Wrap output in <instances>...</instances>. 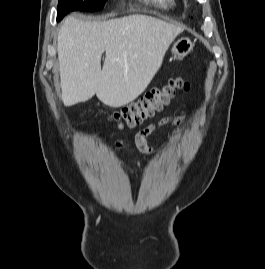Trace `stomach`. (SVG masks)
I'll return each instance as SVG.
<instances>
[{
    "mask_svg": "<svg viewBox=\"0 0 265 269\" xmlns=\"http://www.w3.org/2000/svg\"><path fill=\"white\" fill-rule=\"evenodd\" d=\"M194 42L188 37H181L174 42L171 48L172 56L178 59L183 58L193 50Z\"/></svg>",
    "mask_w": 265,
    "mask_h": 269,
    "instance_id": "1",
    "label": "stomach"
}]
</instances>
